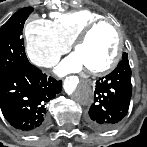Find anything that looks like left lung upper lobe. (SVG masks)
Wrapping results in <instances>:
<instances>
[{
  "label": "left lung upper lobe",
  "instance_id": "left-lung-upper-lobe-1",
  "mask_svg": "<svg viewBox=\"0 0 147 147\" xmlns=\"http://www.w3.org/2000/svg\"><path fill=\"white\" fill-rule=\"evenodd\" d=\"M122 58H127V54L124 53V54L122 55Z\"/></svg>",
  "mask_w": 147,
  "mask_h": 147
}]
</instances>
